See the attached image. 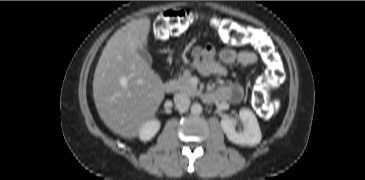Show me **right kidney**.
Listing matches in <instances>:
<instances>
[{
	"label": "right kidney",
	"instance_id": "1",
	"mask_svg": "<svg viewBox=\"0 0 365 180\" xmlns=\"http://www.w3.org/2000/svg\"><path fill=\"white\" fill-rule=\"evenodd\" d=\"M160 129V122L158 120L146 121L139 130V137L142 141H149L152 139Z\"/></svg>",
	"mask_w": 365,
	"mask_h": 180
}]
</instances>
